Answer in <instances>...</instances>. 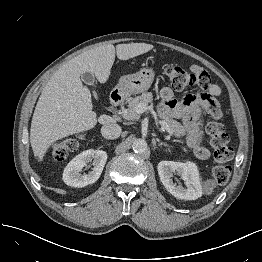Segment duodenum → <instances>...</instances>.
Returning <instances> with one entry per match:
<instances>
[{
  "label": "duodenum",
  "mask_w": 262,
  "mask_h": 262,
  "mask_svg": "<svg viewBox=\"0 0 262 262\" xmlns=\"http://www.w3.org/2000/svg\"><path fill=\"white\" fill-rule=\"evenodd\" d=\"M110 101L113 105H119L122 101H123V95L122 92L120 90H113L110 93Z\"/></svg>",
  "instance_id": "1"
}]
</instances>
